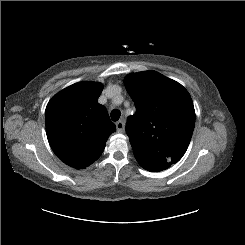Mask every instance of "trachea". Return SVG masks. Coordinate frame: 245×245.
Here are the masks:
<instances>
[{"mask_svg":"<svg viewBox=\"0 0 245 245\" xmlns=\"http://www.w3.org/2000/svg\"><path fill=\"white\" fill-rule=\"evenodd\" d=\"M120 115H121V113H120V111L119 110H112L111 111V114H110V116H111V119L113 120V121H118L119 120V118H120Z\"/></svg>","mask_w":245,"mask_h":245,"instance_id":"3493384b","label":"trachea"}]
</instances>
